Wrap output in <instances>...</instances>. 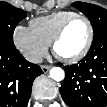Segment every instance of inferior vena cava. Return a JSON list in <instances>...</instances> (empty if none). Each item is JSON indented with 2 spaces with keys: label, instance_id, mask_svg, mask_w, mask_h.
<instances>
[{
  "label": "inferior vena cava",
  "instance_id": "602c4592",
  "mask_svg": "<svg viewBox=\"0 0 107 107\" xmlns=\"http://www.w3.org/2000/svg\"><path fill=\"white\" fill-rule=\"evenodd\" d=\"M26 60L34 63V64H39L42 63L43 59L42 56L39 54H29L25 56Z\"/></svg>",
  "mask_w": 107,
  "mask_h": 107
}]
</instances>
